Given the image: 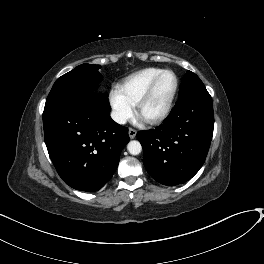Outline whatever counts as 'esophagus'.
Masks as SVG:
<instances>
[{"mask_svg": "<svg viewBox=\"0 0 264 264\" xmlns=\"http://www.w3.org/2000/svg\"><path fill=\"white\" fill-rule=\"evenodd\" d=\"M128 134L130 139H134L136 137L137 131L135 129L129 128Z\"/></svg>", "mask_w": 264, "mask_h": 264, "instance_id": "1", "label": "esophagus"}]
</instances>
